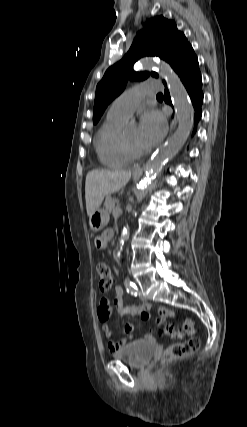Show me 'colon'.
I'll list each match as a JSON object with an SVG mask.
<instances>
[{
    "label": "colon",
    "instance_id": "5ec220e1",
    "mask_svg": "<svg viewBox=\"0 0 247 427\" xmlns=\"http://www.w3.org/2000/svg\"><path fill=\"white\" fill-rule=\"evenodd\" d=\"M96 270L99 276V286L102 291H108L111 289L114 283V277L109 266L103 262H100L96 266ZM195 324L191 319H187L183 324V329L179 330L173 325H166L164 332L166 335L180 338L184 335L193 336L195 334ZM199 348V341L195 338H190L183 343H177L170 346L163 356V361H171L186 357L194 353Z\"/></svg>",
    "mask_w": 247,
    "mask_h": 427
}]
</instances>
